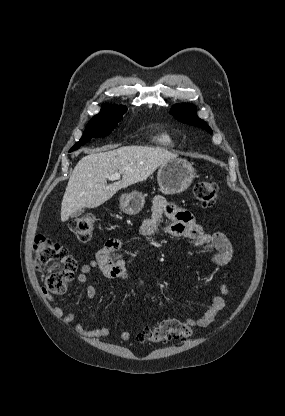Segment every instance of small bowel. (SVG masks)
I'll return each mask as SVG.
<instances>
[{
    "instance_id": "c3829d8e",
    "label": "small bowel",
    "mask_w": 285,
    "mask_h": 416,
    "mask_svg": "<svg viewBox=\"0 0 285 416\" xmlns=\"http://www.w3.org/2000/svg\"><path fill=\"white\" fill-rule=\"evenodd\" d=\"M164 218H167L169 222L164 223ZM160 230L170 236L190 240L198 247L215 252L213 261L218 266L227 265L232 258L233 248L224 233L219 231L207 232L204 226L196 222L191 212L169 204L159 196L154 198L151 216L144 220L140 232L143 236H152ZM124 246L125 244L117 238L107 240L97 252L95 258L81 266L77 275L78 283L86 284L89 274L95 269L99 270L103 277L107 279L128 281L130 275L123 258ZM227 293V285L222 284L221 295L213 298L212 303L205 308L202 316L197 319L188 318L185 323L189 327L197 328H206L211 325L217 315L225 308V295ZM85 294L88 299H93L96 294L95 287L88 284ZM44 295L49 301L55 302L52 294L44 291ZM52 312L65 324L75 323V331L81 337L103 338L111 333V329L106 326L87 329L82 322H76L73 313L67 312L60 306L53 305ZM130 336L128 331H122L118 337L122 341H127Z\"/></svg>"
}]
</instances>
